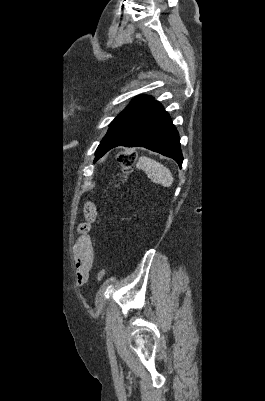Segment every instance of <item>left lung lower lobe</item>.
<instances>
[{
  "instance_id": "0a47b994",
  "label": "left lung lower lobe",
  "mask_w": 265,
  "mask_h": 401,
  "mask_svg": "<svg viewBox=\"0 0 265 401\" xmlns=\"http://www.w3.org/2000/svg\"><path fill=\"white\" fill-rule=\"evenodd\" d=\"M117 146L144 147L174 159L180 168L182 165L179 134L168 113L157 101L126 119L105 137L96 150L95 161Z\"/></svg>"
}]
</instances>
